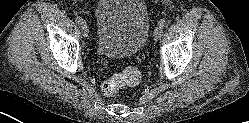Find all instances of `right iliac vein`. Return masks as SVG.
<instances>
[{
	"mask_svg": "<svg viewBox=\"0 0 249 123\" xmlns=\"http://www.w3.org/2000/svg\"><path fill=\"white\" fill-rule=\"evenodd\" d=\"M81 32H82V35L84 37H87L88 34H89V29H88V26L86 24H82L81 25Z\"/></svg>",
	"mask_w": 249,
	"mask_h": 123,
	"instance_id": "1",
	"label": "right iliac vein"
}]
</instances>
